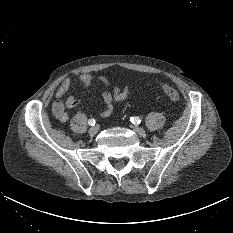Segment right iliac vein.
<instances>
[{
  "label": "right iliac vein",
  "mask_w": 233,
  "mask_h": 233,
  "mask_svg": "<svg viewBox=\"0 0 233 233\" xmlns=\"http://www.w3.org/2000/svg\"><path fill=\"white\" fill-rule=\"evenodd\" d=\"M98 131H99V126L94 125L89 129V134L93 136V135L97 134Z\"/></svg>",
  "instance_id": "1"
}]
</instances>
